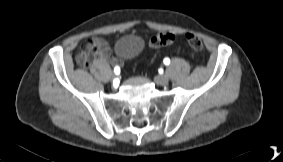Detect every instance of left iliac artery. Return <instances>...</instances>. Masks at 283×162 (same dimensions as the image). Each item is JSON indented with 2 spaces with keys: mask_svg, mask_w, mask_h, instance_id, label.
Returning <instances> with one entry per match:
<instances>
[{
  "mask_svg": "<svg viewBox=\"0 0 283 162\" xmlns=\"http://www.w3.org/2000/svg\"><path fill=\"white\" fill-rule=\"evenodd\" d=\"M169 63H170V59H169V58H165V59H164V64H165V65H168Z\"/></svg>",
  "mask_w": 283,
  "mask_h": 162,
  "instance_id": "obj_1",
  "label": "left iliac artery"
}]
</instances>
